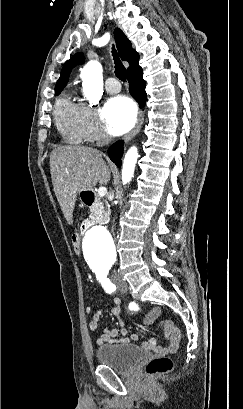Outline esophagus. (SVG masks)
Returning a JSON list of instances; mask_svg holds the SVG:
<instances>
[{
	"mask_svg": "<svg viewBox=\"0 0 243 409\" xmlns=\"http://www.w3.org/2000/svg\"><path fill=\"white\" fill-rule=\"evenodd\" d=\"M143 121H144V111L140 110L135 127L128 134H126L123 139L125 141L132 139L140 131Z\"/></svg>",
	"mask_w": 243,
	"mask_h": 409,
	"instance_id": "1",
	"label": "esophagus"
}]
</instances>
